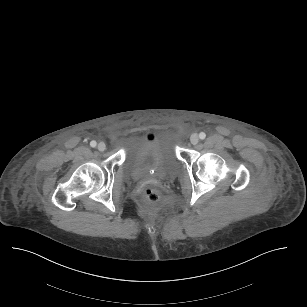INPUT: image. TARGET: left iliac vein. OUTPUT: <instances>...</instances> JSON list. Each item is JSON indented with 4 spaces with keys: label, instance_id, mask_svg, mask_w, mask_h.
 <instances>
[{
    "label": "left iliac vein",
    "instance_id": "4c4485c4",
    "mask_svg": "<svg viewBox=\"0 0 307 307\" xmlns=\"http://www.w3.org/2000/svg\"><path fill=\"white\" fill-rule=\"evenodd\" d=\"M190 142L193 144V145H196V144H198V142H199V137L197 136V135H192L191 137H190Z\"/></svg>",
    "mask_w": 307,
    "mask_h": 307
}]
</instances>
